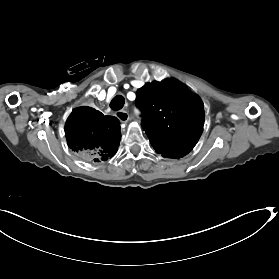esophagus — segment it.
Returning a JSON list of instances; mask_svg holds the SVG:
<instances>
[{"label":"esophagus","mask_w":279,"mask_h":279,"mask_svg":"<svg viewBox=\"0 0 279 279\" xmlns=\"http://www.w3.org/2000/svg\"><path fill=\"white\" fill-rule=\"evenodd\" d=\"M115 116L119 119L120 122L126 123L129 120V113L124 110H119L115 113Z\"/></svg>","instance_id":"esophagus-1"}]
</instances>
